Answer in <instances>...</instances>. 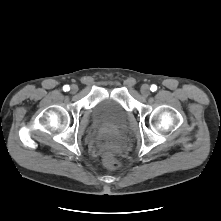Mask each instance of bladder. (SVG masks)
I'll return each mask as SVG.
<instances>
[{
  "label": "bladder",
  "mask_w": 221,
  "mask_h": 221,
  "mask_svg": "<svg viewBox=\"0 0 221 221\" xmlns=\"http://www.w3.org/2000/svg\"><path fill=\"white\" fill-rule=\"evenodd\" d=\"M129 113L121 103L105 98L92 109V125L98 133L122 134L128 123Z\"/></svg>",
  "instance_id": "1"
}]
</instances>
